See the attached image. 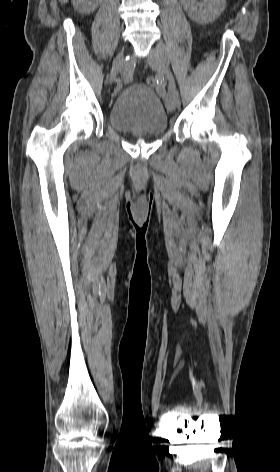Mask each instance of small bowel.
<instances>
[{
  "instance_id": "obj_1",
  "label": "small bowel",
  "mask_w": 280,
  "mask_h": 472,
  "mask_svg": "<svg viewBox=\"0 0 280 472\" xmlns=\"http://www.w3.org/2000/svg\"><path fill=\"white\" fill-rule=\"evenodd\" d=\"M158 91H159L160 95H162V96L165 95V89H164L163 86H160V87L158 88Z\"/></svg>"
}]
</instances>
